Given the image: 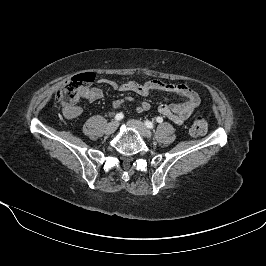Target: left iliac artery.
Here are the masks:
<instances>
[{
  "label": "left iliac artery",
  "instance_id": "1",
  "mask_svg": "<svg viewBox=\"0 0 266 266\" xmlns=\"http://www.w3.org/2000/svg\"><path fill=\"white\" fill-rule=\"evenodd\" d=\"M156 120H157L158 123H162L163 118H162V117H157ZM145 126H146L147 128L152 129V128L154 127V124H153L151 121L146 120V121H145Z\"/></svg>",
  "mask_w": 266,
  "mask_h": 266
}]
</instances>
